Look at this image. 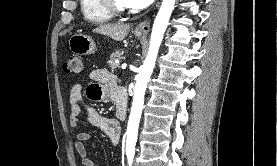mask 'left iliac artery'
Masks as SVG:
<instances>
[{"instance_id": "obj_1", "label": "left iliac artery", "mask_w": 277, "mask_h": 166, "mask_svg": "<svg viewBox=\"0 0 277 166\" xmlns=\"http://www.w3.org/2000/svg\"><path fill=\"white\" fill-rule=\"evenodd\" d=\"M134 158V153H128L127 159H128V165L131 166Z\"/></svg>"}]
</instances>
